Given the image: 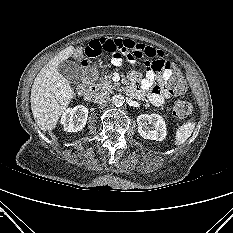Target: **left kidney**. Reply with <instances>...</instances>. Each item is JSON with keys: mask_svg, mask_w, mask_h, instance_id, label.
<instances>
[{"mask_svg": "<svg viewBox=\"0 0 233 233\" xmlns=\"http://www.w3.org/2000/svg\"><path fill=\"white\" fill-rule=\"evenodd\" d=\"M138 132L144 139L162 141L166 137V124L159 114H142L137 117Z\"/></svg>", "mask_w": 233, "mask_h": 233, "instance_id": "left-kidney-1", "label": "left kidney"}]
</instances>
